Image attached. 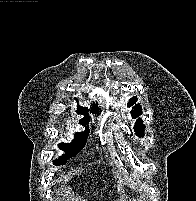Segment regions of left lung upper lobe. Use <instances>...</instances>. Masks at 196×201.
Segmentation results:
<instances>
[{
  "mask_svg": "<svg viewBox=\"0 0 196 201\" xmlns=\"http://www.w3.org/2000/svg\"><path fill=\"white\" fill-rule=\"evenodd\" d=\"M137 102V97H132L129 102L127 107L133 106ZM134 110L131 111L132 117L137 118V116H140L142 114L141 106L140 105H135L133 107ZM144 129L145 126L142 123V120L139 118L136 120V124L134 126V131L136 132V135L139 137L144 136Z\"/></svg>",
  "mask_w": 196,
  "mask_h": 201,
  "instance_id": "left-lung-upper-lobe-1",
  "label": "left lung upper lobe"
}]
</instances>
